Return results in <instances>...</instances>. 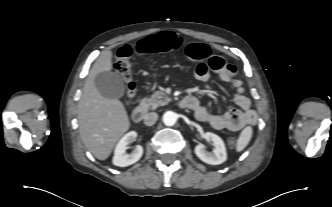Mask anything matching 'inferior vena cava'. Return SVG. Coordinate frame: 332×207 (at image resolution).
I'll use <instances>...</instances> for the list:
<instances>
[{"label": "inferior vena cava", "mask_w": 332, "mask_h": 207, "mask_svg": "<svg viewBox=\"0 0 332 207\" xmlns=\"http://www.w3.org/2000/svg\"><path fill=\"white\" fill-rule=\"evenodd\" d=\"M157 119H158V114L155 112H150V113L146 114L144 123L147 126H152L153 124H155Z\"/></svg>", "instance_id": "obj_1"}]
</instances>
